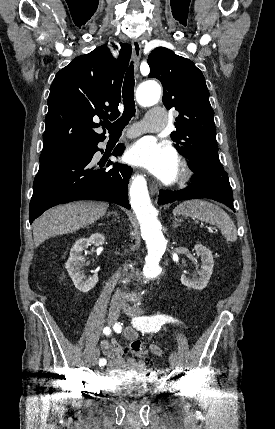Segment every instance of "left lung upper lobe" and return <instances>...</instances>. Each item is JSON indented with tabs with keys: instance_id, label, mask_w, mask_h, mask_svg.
Instances as JSON below:
<instances>
[{
	"instance_id": "obj_1",
	"label": "left lung upper lobe",
	"mask_w": 275,
	"mask_h": 429,
	"mask_svg": "<svg viewBox=\"0 0 275 429\" xmlns=\"http://www.w3.org/2000/svg\"><path fill=\"white\" fill-rule=\"evenodd\" d=\"M148 64L149 77L159 79L163 85L165 107L179 112L174 123L176 131L171 133L179 153L189 160L191 168L211 165L224 169L218 158L214 111L200 69L164 47L150 53Z\"/></svg>"
}]
</instances>
